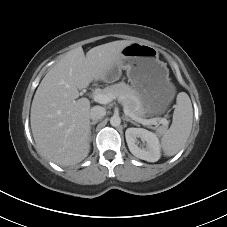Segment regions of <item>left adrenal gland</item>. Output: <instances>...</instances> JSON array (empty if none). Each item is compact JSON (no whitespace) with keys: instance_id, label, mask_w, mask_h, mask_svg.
Instances as JSON below:
<instances>
[{"instance_id":"left-adrenal-gland-1","label":"left adrenal gland","mask_w":227,"mask_h":227,"mask_svg":"<svg viewBox=\"0 0 227 227\" xmlns=\"http://www.w3.org/2000/svg\"><path fill=\"white\" fill-rule=\"evenodd\" d=\"M124 120H126L127 122H131L134 125H138L136 122H134L132 119H130L129 117L125 116Z\"/></svg>"}]
</instances>
